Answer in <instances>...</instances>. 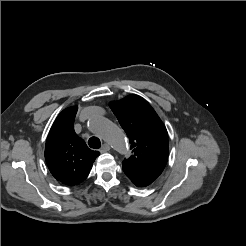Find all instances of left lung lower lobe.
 I'll list each match as a JSON object with an SVG mask.
<instances>
[{
  "instance_id": "1",
  "label": "left lung lower lobe",
  "mask_w": 246,
  "mask_h": 246,
  "mask_svg": "<svg viewBox=\"0 0 246 246\" xmlns=\"http://www.w3.org/2000/svg\"><path fill=\"white\" fill-rule=\"evenodd\" d=\"M127 177L137 186V187H145V186H148L149 183L148 181L138 177V176H135V175H132V174H127Z\"/></svg>"
}]
</instances>
